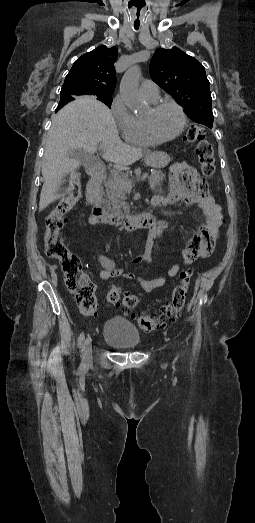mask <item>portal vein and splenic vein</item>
<instances>
[{
    "label": "portal vein and splenic vein",
    "mask_w": 255,
    "mask_h": 523,
    "mask_svg": "<svg viewBox=\"0 0 255 523\" xmlns=\"http://www.w3.org/2000/svg\"><path fill=\"white\" fill-rule=\"evenodd\" d=\"M114 173H123V170H114ZM148 178V173L142 172L136 180V183L145 182ZM123 190H126L128 193L133 191L131 182H123Z\"/></svg>",
    "instance_id": "obj_1"
}]
</instances>
